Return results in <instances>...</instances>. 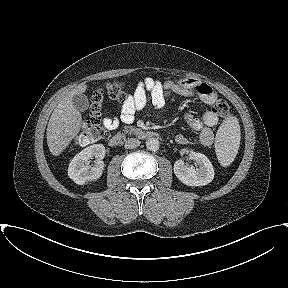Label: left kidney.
Wrapping results in <instances>:
<instances>
[{
	"label": "left kidney",
	"mask_w": 288,
	"mask_h": 288,
	"mask_svg": "<svg viewBox=\"0 0 288 288\" xmlns=\"http://www.w3.org/2000/svg\"><path fill=\"white\" fill-rule=\"evenodd\" d=\"M189 153L183 149L181 154ZM190 157L194 159L198 168L185 165L183 160H177L174 164V173L176 177L188 186H204L210 183L214 178V169L210 160L202 153L190 151Z\"/></svg>",
	"instance_id": "5707ae66"
}]
</instances>
